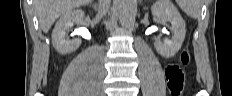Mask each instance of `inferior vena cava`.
<instances>
[{"mask_svg": "<svg viewBox=\"0 0 232 96\" xmlns=\"http://www.w3.org/2000/svg\"><path fill=\"white\" fill-rule=\"evenodd\" d=\"M110 0H99L98 15L104 16L109 10Z\"/></svg>", "mask_w": 232, "mask_h": 96, "instance_id": "602c4592", "label": "inferior vena cava"}]
</instances>
